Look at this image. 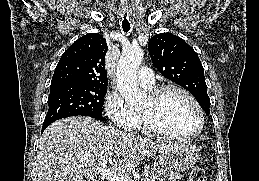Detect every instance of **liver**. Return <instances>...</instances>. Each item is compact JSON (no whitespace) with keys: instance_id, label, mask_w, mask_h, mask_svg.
<instances>
[{"instance_id":"1","label":"liver","mask_w":259,"mask_h":181,"mask_svg":"<svg viewBox=\"0 0 259 181\" xmlns=\"http://www.w3.org/2000/svg\"><path fill=\"white\" fill-rule=\"evenodd\" d=\"M170 143L143 139L90 117L61 119L40 138L37 181H86L108 161L118 174L131 172Z\"/></svg>"}]
</instances>
